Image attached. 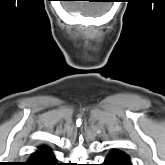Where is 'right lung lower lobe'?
<instances>
[{"label": "right lung lower lobe", "instance_id": "right-lung-lower-lobe-1", "mask_svg": "<svg viewBox=\"0 0 165 165\" xmlns=\"http://www.w3.org/2000/svg\"><path fill=\"white\" fill-rule=\"evenodd\" d=\"M54 154L48 147H41L37 150L26 165H59Z\"/></svg>", "mask_w": 165, "mask_h": 165}]
</instances>
